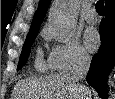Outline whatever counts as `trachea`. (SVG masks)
I'll return each mask as SVG.
<instances>
[{"label": "trachea", "instance_id": "1", "mask_svg": "<svg viewBox=\"0 0 115 99\" xmlns=\"http://www.w3.org/2000/svg\"><path fill=\"white\" fill-rule=\"evenodd\" d=\"M96 11L99 15L104 13V0H99L95 5Z\"/></svg>", "mask_w": 115, "mask_h": 99}]
</instances>
